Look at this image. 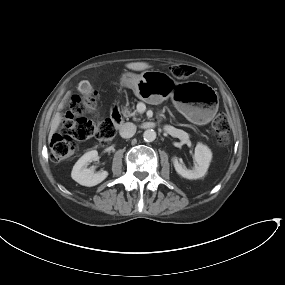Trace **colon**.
I'll use <instances>...</instances> for the list:
<instances>
[{
    "mask_svg": "<svg viewBox=\"0 0 285 285\" xmlns=\"http://www.w3.org/2000/svg\"><path fill=\"white\" fill-rule=\"evenodd\" d=\"M170 73L176 79L185 80L195 73V68L189 65H173ZM85 112V103L78 96H73L70 110L63 114L59 133L51 139V157L55 162L70 158L76 152L77 144L91 137H96L102 144H108L114 138L117 126L112 120L106 119L96 124L84 117ZM212 131L219 144L224 145L229 141L230 124L225 114L216 116Z\"/></svg>",
    "mask_w": 285,
    "mask_h": 285,
    "instance_id": "5ec220e1",
    "label": "colon"
}]
</instances>
